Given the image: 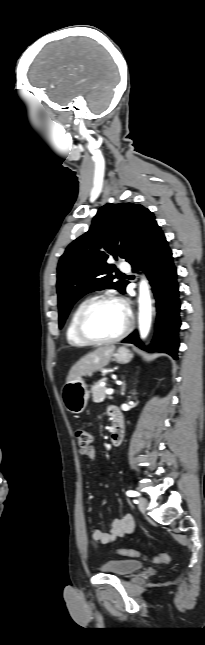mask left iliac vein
Segmentation results:
<instances>
[{
  "instance_id": "4c4485c4",
  "label": "left iliac vein",
  "mask_w": 205,
  "mask_h": 645,
  "mask_svg": "<svg viewBox=\"0 0 205 645\" xmlns=\"http://www.w3.org/2000/svg\"><path fill=\"white\" fill-rule=\"evenodd\" d=\"M148 506V501L144 497L138 498V508L141 512H146Z\"/></svg>"
}]
</instances>
